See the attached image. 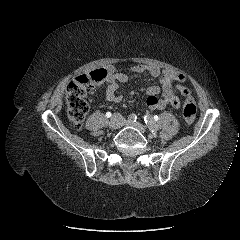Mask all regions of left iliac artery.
Segmentation results:
<instances>
[{"mask_svg": "<svg viewBox=\"0 0 240 240\" xmlns=\"http://www.w3.org/2000/svg\"><path fill=\"white\" fill-rule=\"evenodd\" d=\"M144 122L148 126V128L152 131V133H156V125L154 120H152L150 115H145L144 116Z\"/></svg>", "mask_w": 240, "mask_h": 240, "instance_id": "obj_1", "label": "left iliac artery"}]
</instances>
